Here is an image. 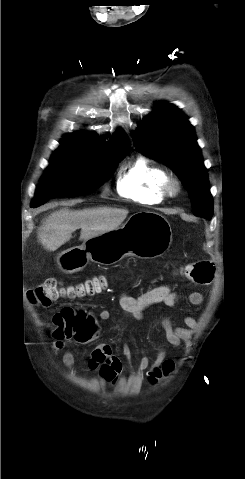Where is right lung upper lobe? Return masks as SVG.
Here are the masks:
<instances>
[{
  "label": "right lung upper lobe",
  "instance_id": "right-lung-upper-lobe-1",
  "mask_svg": "<svg viewBox=\"0 0 245 479\" xmlns=\"http://www.w3.org/2000/svg\"><path fill=\"white\" fill-rule=\"evenodd\" d=\"M62 142L100 151H129L130 149V142L122 130H119L109 143L103 145H98V137L94 133L82 131L65 136Z\"/></svg>",
  "mask_w": 245,
  "mask_h": 479
}]
</instances>
